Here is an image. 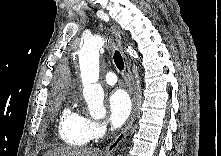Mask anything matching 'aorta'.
<instances>
[{
    "label": "aorta",
    "instance_id": "1",
    "mask_svg": "<svg viewBox=\"0 0 221 156\" xmlns=\"http://www.w3.org/2000/svg\"><path fill=\"white\" fill-rule=\"evenodd\" d=\"M105 45V38L101 35H94L84 41L79 51V62L81 79L83 85L84 99L88 105V111L93 118L100 119L106 114L104 91L99 80V51ZM131 56L138 58L136 52L128 48Z\"/></svg>",
    "mask_w": 221,
    "mask_h": 156
}]
</instances>
